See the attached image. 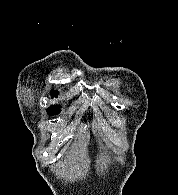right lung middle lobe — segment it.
<instances>
[{
  "instance_id": "right-lung-middle-lobe-1",
  "label": "right lung middle lobe",
  "mask_w": 178,
  "mask_h": 195,
  "mask_svg": "<svg viewBox=\"0 0 178 195\" xmlns=\"http://www.w3.org/2000/svg\"><path fill=\"white\" fill-rule=\"evenodd\" d=\"M60 112V109L59 108H48L47 109V113L49 115H56Z\"/></svg>"
}]
</instances>
